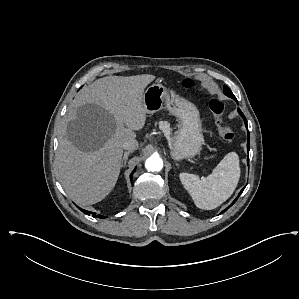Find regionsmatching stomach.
Wrapping results in <instances>:
<instances>
[{
  "label": "stomach",
  "instance_id": "1",
  "mask_svg": "<svg viewBox=\"0 0 299 299\" xmlns=\"http://www.w3.org/2000/svg\"><path fill=\"white\" fill-rule=\"evenodd\" d=\"M143 103L148 114H154L165 107L178 118L180 126L171 140V156L174 160L193 157L200 152L204 138L200 113L193 103L160 83H153L146 89Z\"/></svg>",
  "mask_w": 299,
  "mask_h": 299
}]
</instances>
